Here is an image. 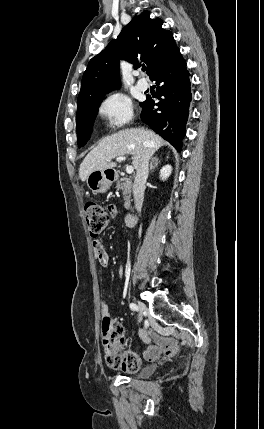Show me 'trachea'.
I'll list each match as a JSON object with an SVG mask.
<instances>
[{
    "instance_id": "trachea-1",
    "label": "trachea",
    "mask_w": 264,
    "mask_h": 429,
    "mask_svg": "<svg viewBox=\"0 0 264 429\" xmlns=\"http://www.w3.org/2000/svg\"><path fill=\"white\" fill-rule=\"evenodd\" d=\"M142 70H143V71H145V70H146V67H143V68H142Z\"/></svg>"
}]
</instances>
